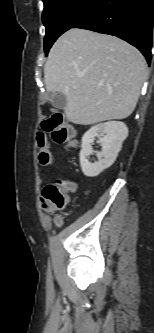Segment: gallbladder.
<instances>
[{
    "label": "gallbladder",
    "instance_id": "bac80fb5",
    "mask_svg": "<svg viewBox=\"0 0 154 333\" xmlns=\"http://www.w3.org/2000/svg\"><path fill=\"white\" fill-rule=\"evenodd\" d=\"M66 102V97L62 93L56 92L51 95V104L57 109H64Z\"/></svg>",
    "mask_w": 154,
    "mask_h": 333
}]
</instances>
